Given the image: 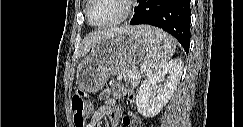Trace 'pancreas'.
<instances>
[{
    "label": "pancreas",
    "instance_id": "cf45deb5",
    "mask_svg": "<svg viewBox=\"0 0 243 127\" xmlns=\"http://www.w3.org/2000/svg\"><path fill=\"white\" fill-rule=\"evenodd\" d=\"M128 82H130L133 86H137L140 82V76L134 75L130 73L127 78Z\"/></svg>",
    "mask_w": 243,
    "mask_h": 127
}]
</instances>
